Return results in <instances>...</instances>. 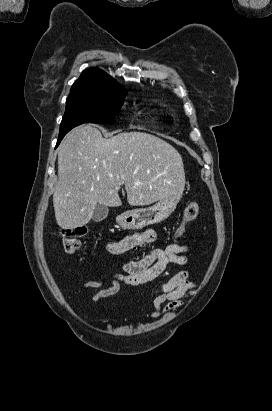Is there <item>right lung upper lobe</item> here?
Here are the masks:
<instances>
[{"instance_id": "obj_1", "label": "right lung upper lobe", "mask_w": 272, "mask_h": 411, "mask_svg": "<svg viewBox=\"0 0 272 411\" xmlns=\"http://www.w3.org/2000/svg\"><path fill=\"white\" fill-rule=\"evenodd\" d=\"M104 88H116L125 90L111 76L98 68L87 69L82 72L81 76L72 85L70 94L95 91ZM126 91V90H125Z\"/></svg>"}]
</instances>
